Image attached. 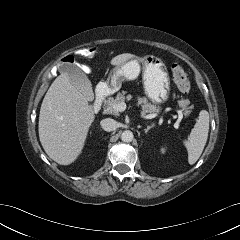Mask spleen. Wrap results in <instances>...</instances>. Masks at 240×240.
Listing matches in <instances>:
<instances>
[{"mask_svg":"<svg viewBox=\"0 0 240 240\" xmlns=\"http://www.w3.org/2000/svg\"><path fill=\"white\" fill-rule=\"evenodd\" d=\"M209 132V113L201 110L194 128L191 130L190 136L184 141V145L188 152V162L194 164L201 156L206 145Z\"/></svg>","mask_w":240,"mask_h":240,"instance_id":"spleen-1","label":"spleen"}]
</instances>
